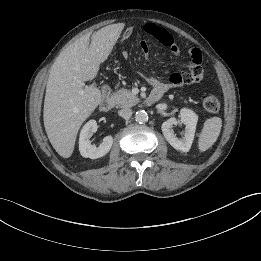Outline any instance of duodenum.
Masks as SVG:
<instances>
[{
  "label": "duodenum",
  "instance_id": "1",
  "mask_svg": "<svg viewBox=\"0 0 261 261\" xmlns=\"http://www.w3.org/2000/svg\"><path fill=\"white\" fill-rule=\"evenodd\" d=\"M111 89L108 85H104L102 88L103 98L100 102V110L103 112L110 111L113 108L114 101L113 98L110 95ZM162 94L157 91H152L149 96L146 99V103L148 105H152L156 103L160 98Z\"/></svg>",
  "mask_w": 261,
  "mask_h": 261
}]
</instances>
